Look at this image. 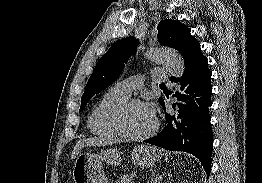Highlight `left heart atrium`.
Here are the masks:
<instances>
[{"mask_svg":"<svg viewBox=\"0 0 262 183\" xmlns=\"http://www.w3.org/2000/svg\"><path fill=\"white\" fill-rule=\"evenodd\" d=\"M145 108L147 109V111L149 112V114L156 119V108L155 105L153 103H146L144 104Z\"/></svg>","mask_w":262,"mask_h":183,"instance_id":"left-heart-atrium-1","label":"left heart atrium"}]
</instances>
